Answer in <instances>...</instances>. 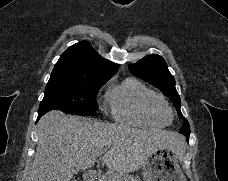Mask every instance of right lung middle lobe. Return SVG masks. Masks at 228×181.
I'll return each mask as SVG.
<instances>
[{"label": "right lung middle lobe", "mask_w": 228, "mask_h": 181, "mask_svg": "<svg viewBox=\"0 0 228 181\" xmlns=\"http://www.w3.org/2000/svg\"><path fill=\"white\" fill-rule=\"evenodd\" d=\"M107 80L88 82H48L40 103L38 119L46 112L58 109L67 114L91 116L98 110L96 96Z\"/></svg>", "instance_id": "right-lung-middle-lobe-1"}]
</instances>
